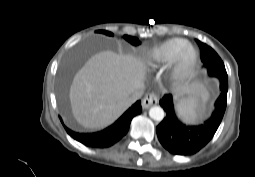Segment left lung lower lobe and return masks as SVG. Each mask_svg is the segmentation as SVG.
<instances>
[{"instance_id": "left-lung-lower-lobe-1", "label": "left lung lower lobe", "mask_w": 255, "mask_h": 177, "mask_svg": "<svg viewBox=\"0 0 255 177\" xmlns=\"http://www.w3.org/2000/svg\"><path fill=\"white\" fill-rule=\"evenodd\" d=\"M219 80L221 93L215 102V110L211 117L200 125L188 126L176 117L171 95H165L160 100L166 117L156 128L157 136L162 146L171 154L193 155L213 138L227 105L228 79Z\"/></svg>"}]
</instances>
